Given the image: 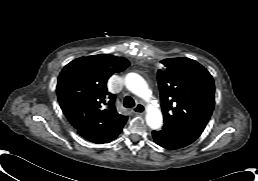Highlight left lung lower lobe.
<instances>
[{"label":"left lung lower lobe","mask_w":258,"mask_h":181,"mask_svg":"<svg viewBox=\"0 0 258 181\" xmlns=\"http://www.w3.org/2000/svg\"><path fill=\"white\" fill-rule=\"evenodd\" d=\"M154 141L167 149H179L194 142L200 134L191 130L164 124L162 130L152 132Z\"/></svg>","instance_id":"1"}]
</instances>
